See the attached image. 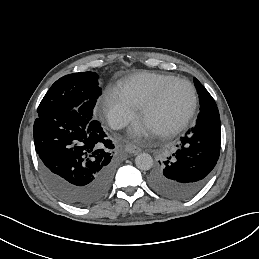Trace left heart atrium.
<instances>
[{
	"mask_svg": "<svg viewBox=\"0 0 259 259\" xmlns=\"http://www.w3.org/2000/svg\"><path fill=\"white\" fill-rule=\"evenodd\" d=\"M131 132L135 136H140L142 134V129H141L140 125L136 123L131 128Z\"/></svg>",
	"mask_w": 259,
	"mask_h": 259,
	"instance_id": "1",
	"label": "left heart atrium"
}]
</instances>
